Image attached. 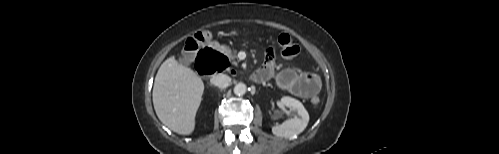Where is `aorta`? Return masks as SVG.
Wrapping results in <instances>:
<instances>
[{
    "instance_id": "obj_1",
    "label": "aorta",
    "mask_w": 499,
    "mask_h": 154,
    "mask_svg": "<svg viewBox=\"0 0 499 154\" xmlns=\"http://www.w3.org/2000/svg\"><path fill=\"white\" fill-rule=\"evenodd\" d=\"M234 93L238 96H242L247 91V86L244 83H238L234 87Z\"/></svg>"
}]
</instances>
